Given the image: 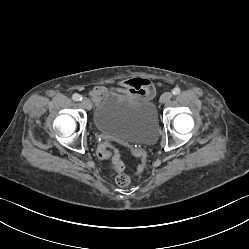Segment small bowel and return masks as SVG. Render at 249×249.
Returning a JSON list of instances; mask_svg holds the SVG:
<instances>
[{
    "mask_svg": "<svg viewBox=\"0 0 249 249\" xmlns=\"http://www.w3.org/2000/svg\"><path fill=\"white\" fill-rule=\"evenodd\" d=\"M113 89L127 93L140 100H147L154 96L155 88L152 82L147 79L132 78L120 81ZM108 88L97 86L91 90V95L95 100H100Z\"/></svg>",
    "mask_w": 249,
    "mask_h": 249,
    "instance_id": "small-bowel-1",
    "label": "small bowel"
}]
</instances>
